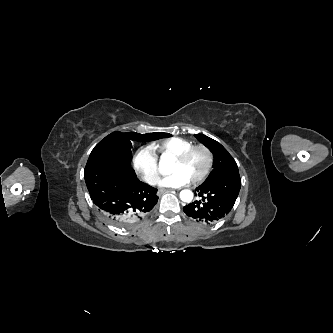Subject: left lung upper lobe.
Masks as SVG:
<instances>
[{"label":"left lung upper lobe","instance_id":"5c2ea615","mask_svg":"<svg viewBox=\"0 0 333 333\" xmlns=\"http://www.w3.org/2000/svg\"><path fill=\"white\" fill-rule=\"evenodd\" d=\"M195 137L214 155L213 170L203 184H208L223 176L239 174L235 160L219 142L203 134H195Z\"/></svg>","mask_w":333,"mask_h":333}]
</instances>
